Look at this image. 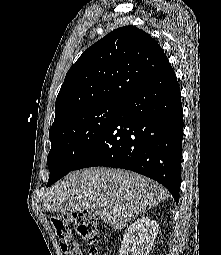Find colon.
Here are the masks:
<instances>
[{"mask_svg": "<svg viewBox=\"0 0 221 255\" xmlns=\"http://www.w3.org/2000/svg\"><path fill=\"white\" fill-rule=\"evenodd\" d=\"M51 223L60 248L66 255H81L72 235L70 225H74L78 234L91 245H95L100 239V223L98 219L87 214L77 212L56 213L51 215Z\"/></svg>", "mask_w": 221, "mask_h": 255, "instance_id": "obj_1", "label": "colon"}]
</instances>
